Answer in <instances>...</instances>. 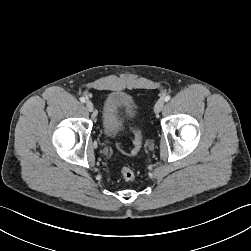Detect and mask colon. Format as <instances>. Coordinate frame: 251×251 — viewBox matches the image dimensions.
<instances>
[{
  "label": "colon",
  "mask_w": 251,
  "mask_h": 251,
  "mask_svg": "<svg viewBox=\"0 0 251 251\" xmlns=\"http://www.w3.org/2000/svg\"><path fill=\"white\" fill-rule=\"evenodd\" d=\"M132 129L135 133V142H134V148L132 149V153H136L141 147L142 134L138 126L134 123L132 124ZM121 174L125 181L130 182L135 179V172L129 167H122Z\"/></svg>",
  "instance_id": "5ec220e1"
}]
</instances>
